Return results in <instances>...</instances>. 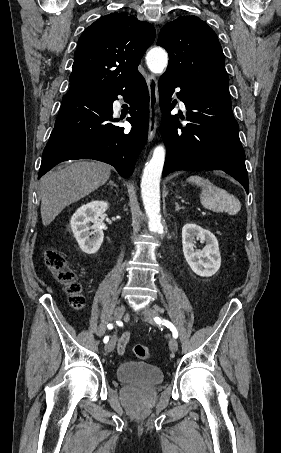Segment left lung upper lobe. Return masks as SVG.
Returning <instances> with one entry per match:
<instances>
[{"mask_svg":"<svg viewBox=\"0 0 281 453\" xmlns=\"http://www.w3.org/2000/svg\"><path fill=\"white\" fill-rule=\"evenodd\" d=\"M157 45L169 54L163 75L192 91L229 92L225 60L215 32L196 16H180L161 29Z\"/></svg>","mask_w":281,"mask_h":453,"instance_id":"1","label":"left lung upper lobe"}]
</instances>
